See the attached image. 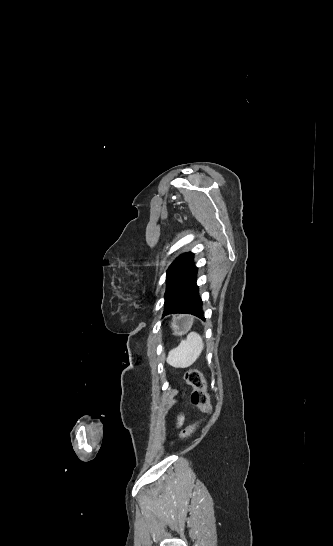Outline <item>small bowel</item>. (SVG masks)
<instances>
[{"instance_id":"small-bowel-1","label":"small bowel","mask_w":333,"mask_h":546,"mask_svg":"<svg viewBox=\"0 0 333 546\" xmlns=\"http://www.w3.org/2000/svg\"><path fill=\"white\" fill-rule=\"evenodd\" d=\"M183 421H184V416H183V414H179V415L177 416V419H176L177 425H181Z\"/></svg>"}]
</instances>
